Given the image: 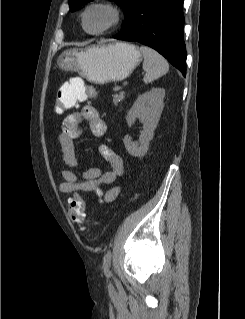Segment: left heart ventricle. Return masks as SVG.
I'll list each match as a JSON object with an SVG mask.
<instances>
[{"instance_id": "left-heart-ventricle-1", "label": "left heart ventricle", "mask_w": 245, "mask_h": 319, "mask_svg": "<svg viewBox=\"0 0 245 319\" xmlns=\"http://www.w3.org/2000/svg\"><path fill=\"white\" fill-rule=\"evenodd\" d=\"M110 13L104 9L92 10L86 19V26L89 30L94 31L106 26L110 21Z\"/></svg>"}]
</instances>
